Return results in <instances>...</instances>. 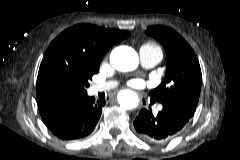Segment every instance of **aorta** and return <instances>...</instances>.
I'll use <instances>...</instances> for the list:
<instances>
[{"label": "aorta", "instance_id": "obj_1", "mask_svg": "<svg viewBox=\"0 0 240 160\" xmlns=\"http://www.w3.org/2000/svg\"><path fill=\"white\" fill-rule=\"evenodd\" d=\"M110 63L116 70L131 71L137 67L139 59L137 53L132 48L119 46L111 52ZM118 102L124 109H133L138 105L139 100L135 92L124 90L119 93Z\"/></svg>", "mask_w": 240, "mask_h": 160}]
</instances>
